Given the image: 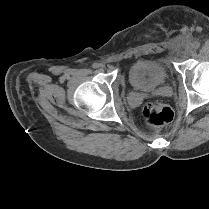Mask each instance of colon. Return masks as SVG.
<instances>
[{
    "label": "colon",
    "instance_id": "obj_1",
    "mask_svg": "<svg viewBox=\"0 0 209 209\" xmlns=\"http://www.w3.org/2000/svg\"><path fill=\"white\" fill-rule=\"evenodd\" d=\"M173 117L172 108L162 103H148L143 108V118L151 126H165L173 120Z\"/></svg>",
    "mask_w": 209,
    "mask_h": 209
}]
</instances>
